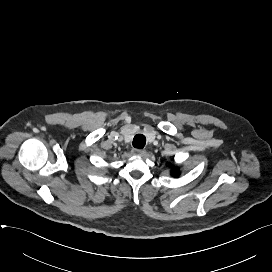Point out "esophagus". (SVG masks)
Masks as SVG:
<instances>
[{
	"mask_svg": "<svg viewBox=\"0 0 272 272\" xmlns=\"http://www.w3.org/2000/svg\"><path fill=\"white\" fill-rule=\"evenodd\" d=\"M133 154L138 156H144L146 151L143 149H133Z\"/></svg>",
	"mask_w": 272,
	"mask_h": 272,
	"instance_id": "34e87169",
	"label": "esophagus"
}]
</instances>
